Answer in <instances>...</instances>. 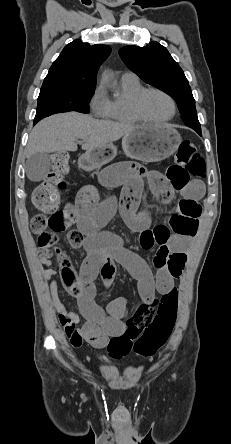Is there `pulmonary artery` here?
Here are the masks:
<instances>
[{
  "label": "pulmonary artery",
  "instance_id": "1",
  "mask_svg": "<svg viewBox=\"0 0 231 444\" xmlns=\"http://www.w3.org/2000/svg\"><path fill=\"white\" fill-rule=\"evenodd\" d=\"M122 78H137L134 73L126 72L122 75Z\"/></svg>",
  "mask_w": 231,
  "mask_h": 444
}]
</instances>
